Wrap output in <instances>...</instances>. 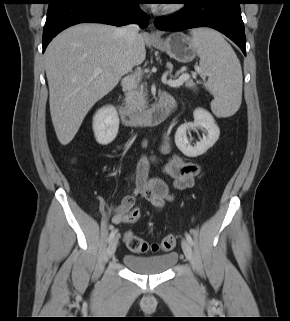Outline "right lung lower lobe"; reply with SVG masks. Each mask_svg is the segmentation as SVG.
Here are the masks:
<instances>
[{"label":"right lung lower lobe","mask_w":290,"mask_h":321,"mask_svg":"<svg viewBox=\"0 0 290 321\" xmlns=\"http://www.w3.org/2000/svg\"><path fill=\"white\" fill-rule=\"evenodd\" d=\"M141 0H50L43 30V52L49 42L62 30L84 22H97L122 26L148 24L147 16L137 4Z\"/></svg>","instance_id":"1"}]
</instances>
